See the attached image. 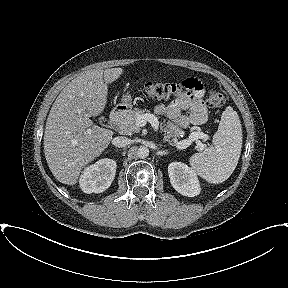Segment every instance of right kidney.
Returning <instances> with one entry per match:
<instances>
[{"mask_svg": "<svg viewBox=\"0 0 288 288\" xmlns=\"http://www.w3.org/2000/svg\"><path fill=\"white\" fill-rule=\"evenodd\" d=\"M116 162L109 158L88 166L80 177V187L85 193H101L108 189L114 180Z\"/></svg>", "mask_w": 288, "mask_h": 288, "instance_id": "1", "label": "right kidney"}]
</instances>
